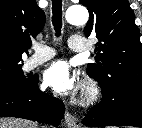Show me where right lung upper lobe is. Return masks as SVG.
Instances as JSON below:
<instances>
[{
  "instance_id": "right-lung-upper-lobe-1",
  "label": "right lung upper lobe",
  "mask_w": 142,
  "mask_h": 128,
  "mask_svg": "<svg viewBox=\"0 0 142 128\" xmlns=\"http://www.w3.org/2000/svg\"><path fill=\"white\" fill-rule=\"evenodd\" d=\"M44 24L35 0H0V66H22L23 52Z\"/></svg>"
}]
</instances>
